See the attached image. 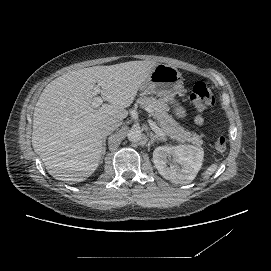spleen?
Segmentation results:
<instances>
[{
    "instance_id": "3e777b00",
    "label": "spleen",
    "mask_w": 271,
    "mask_h": 271,
    "mask_svg": "<svg viewBox=\"0 0 271 271\" xmlns=\"http://www.w3.org/2000/svg\"><path fill=\"white\" fill-rule=\"evenodd\" d=\"M217 164H212L208 169L203 173V179H209V177L216 171Z\"/></svg>"
}]
</instances>
